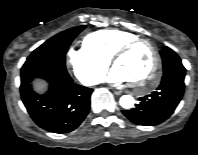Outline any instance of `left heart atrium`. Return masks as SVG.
Listing matches in <instances>:
<instances>
[{
  "instance_id": "left-heart-atrium-1",
  "label": "left heart atrium",
  "mask_w": 198,
  "mask_h": 155,
  "mask_svg": "<svg viewBox=\"0 0 198 155\" xmlns=\"http://www.w3.org/2000/svg\"><path fill=\"white\" fill-rule=\"evenodd\" d=\"M107 80L113 84H124L130 82V78L117 66L109 73Z\"/></svg>"
}]
</instances>
